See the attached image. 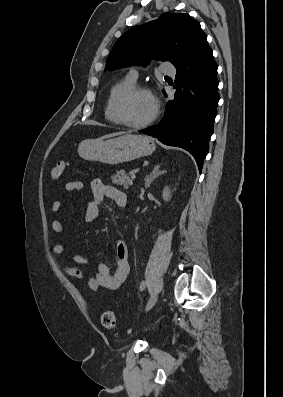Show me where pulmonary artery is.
<instances>
[{
    "instance_id": "1",
    "label": "pulmonary artery",
    "mask_w": 283,
    "mask_h": 397,
    "mask_svg": "<svg viewBox=\"0 0 283 397\" xmlns=\"http://www.w3.org/2000/svg\"><path fill=\"white\" fill-rule=\"evenodd\" d=\"M162 71H163V73L169 74V75H173V74H175V72H176L175 68H174L172 65H165V66L163 67ZM128 77H129L131 80L136 81V80H137V77H138L137 71L131 70V71L129 72Z\"/></svg>"
}]
</instances>
